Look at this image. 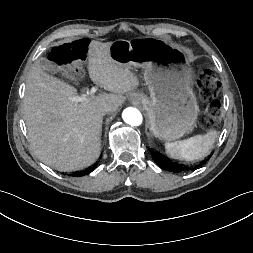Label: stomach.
<instances>
[{
    "mask_svg": "<svg viewBox=\"0 0 253 253\" xmlns=\"http://www.w3.org/2000/svg\"><path fill=\"white\" fill-rule=\"evenodd\" d=\"M110 56L119 64L144 69L150 96L133 93L131 99L146 110L156 138L171 142L193 130L199 112L193 71L179 50L154 38L119 39L112 43Z\"/></svg>",
    "mask_w": 253,
    "mask_h": 253,
    "instance_id": "0dacf381",
    "label": "stomach"
}]
</instances>
